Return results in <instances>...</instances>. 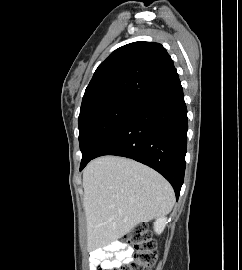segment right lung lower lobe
<instances>
[{
	"instance_id": "98d812e1",
	"label": "right lung lower lobe",
	"mask_w": 242,
	"mask_h": 270,
	"mask_svg": "<svg viewBox=\"0 0 242 270\" xmlns=\"http://www.w3.org/2000/svg\"><path fill=\"white\" fill-rule=\"evenodd\" d=\"M187 130V109L178 77L137 102L91 159L117 155L150 166L170 182L178 199L184 180ZM90 160L81 163L80 171Z\"/></svg>"
}]
</instances>
